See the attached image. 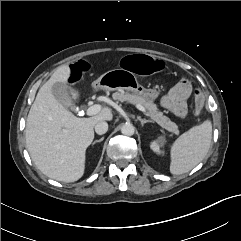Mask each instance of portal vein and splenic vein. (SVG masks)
<instances>
[{
	"mask_svg": "<svg viewBox=\"0 0 241 241\" xmlns=\"http://www.w3.org/2000/svg\"><path fill=\"white\" fill-rule=\"evenodd\" d=\"M136 107L137 109H139L140 111L146 114L147 111L142 105L137 104ZM100 111H101V105L96 104V105L90 106L87 109L86 113L88 116H92L99 113Z\"/></svg>",
	"mask_w": 241,
	"mask_h": 241,
	"instance_id": "18ae733b",
	"label": "portal vein and splenic vein"
}]
</instances>
